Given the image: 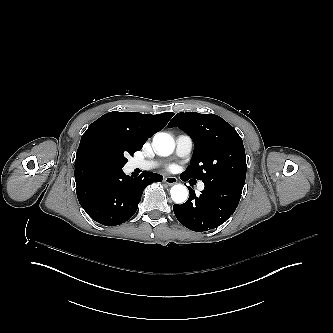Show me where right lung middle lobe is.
Listing matches in <instances>:
<instances>
[{
  "label": "right lung middle lobe",
  "mask_w": 333,
  "mask_h": 333,
  "mask_svg": "<svg viewBox=\"0 0 333 333\" xmlns=\"http://www.w3.org/2000/svg\"><path fill=\"white\" fill-rule=\"evenodd\" d=\"M135 151L122 142L97 136L83 145L79 157L95 159L107 167L123 168L128 161L126 156Z\"/></svg>",
  "instance_id": "right-lung-middle-lobe-1"
}]
</instances>
